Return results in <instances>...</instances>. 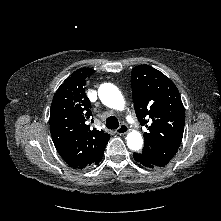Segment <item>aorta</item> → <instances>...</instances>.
<instances>
[{
    "mask_svg": "<svg viewBox=\"0 0 221 221\" xmlns=\"http://www.w3.org/2000/svg\"><path fill=\"white\" fill-rule=\"evenodd\" d=\"M98 96L101 102L109 108L123 110L125 106L124 98L120 90L111 83H104L98 89ZM127 146L130 150L137 151L142 148L143 139L138 131L128 133Z\"/></svg>",
    "mask_w": 221,
    "mask_h": 221,
    "instance_id": "1",
    "label": "aorta"
}]
</instances>
